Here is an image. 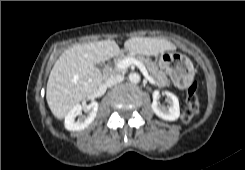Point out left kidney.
Masks as SVG:
<instances>
[{
    "mask_svg": "<svg viewBox=\"0 0 245 170\" xmlns=\"http://www.w3.org/2000/svg\"><path fill=\"white\" fill-rule=\"evenodd\" d=\"M165 94L167 95L169 99V106L165 107L158 103L157 98L159 95V91L155 90L153 92V102H152V110L154 113L167 121H174L177 120L180 116V107H179V101L176 95H174L171 92L166 91Z\"/></svg>",
    "mask_w": 245,
    "mask_h": 170,
    "instance_id": "5707ae66",
    "label": "left kidney"
}]
</instances>
